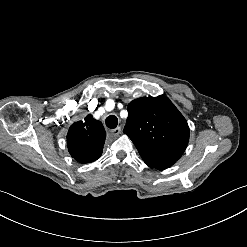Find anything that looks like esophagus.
Listing matches in <instances>:
<instances>
[{
    "label": "esophagus",
    "mask_w": 247,
    "mask_h": 247,
    "mask_svg": "<svg viewBox=\"0 0 247 247\" xmlns=\"http://www.w3.org/2000/svg\"><path fill=\"white\" fill-rule=\"evenodd\" d=\"M110 132H111L112 135L117 136V135H119L120 132H121V127L118 126L117 128L111 130Z\"/></svg>",
    "instance_id": "1"
}]
</instances>
